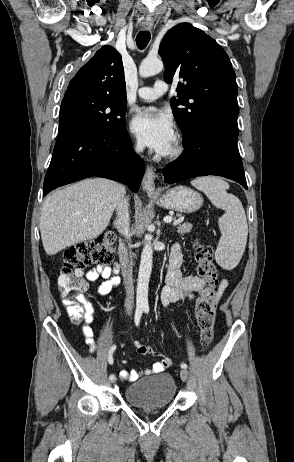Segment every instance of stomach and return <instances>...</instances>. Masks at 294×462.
<instances>
[{
	"instance_id": "obj_1",
	"label": "stomach",
	"mask_w": 294,
	"mask_h": 462,
	"mask_svg": "<svg viewBox=\"0 0 294 462\" xmlns=\"http://www.w3.org/2000/svg\"><path fill=\"white\" fill-rule=\"evenodd\" d=\"M149 196L154 198L159 206L181 213H193L203 204V198L198 192L184 186L174 187L160 197L151 193Z\"/></svg>"
}]
</instances>
